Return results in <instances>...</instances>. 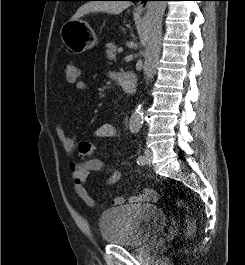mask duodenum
Returning a JSON list of instances; mask_svg holds the SVG:
<instances>
[{"mask_svg":"<svg viewBox=\"0 0 245 265\" xmlns=\"http://www.w3.org/2000/svg\"><path fill=\"white\" fill-rule=\"evenodd\" d=\"M114 78L117 84L120 85L125 92L133 94L136 91L137 76L133 72H117L115 73Z\"/></svg>","mask_w":245,"mask_h":265,"instance_id":"duodenum-1","label":"duodenum"}]
</instances>
